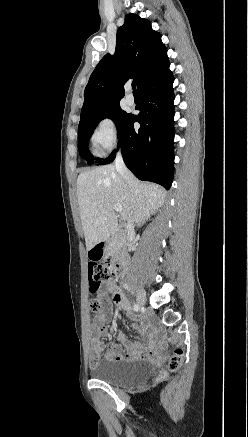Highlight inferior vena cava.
<instances>
[{
	"instance_id": "inferior-vena-cava-1",
	"label": "inferior vena cava",
	"mask_w": 248,
	"mask_h": 437,
	"mask_svg": "<svg viewBox=\"0 0 248 437\" xmlns=\"http://www.w3.org/2000/svg\"><path fill=\"white\" fill-rule=\"evenodd\" d=\"M115 168H116V171L118 172L119 176L121 177V179L128 186H130L131 173L129 172L126 165L124 164L121 152H118L116 155ZM131 214H132V217L127 221V224L130 227L133 226V212H131Z\"/></svg>"
}]
</instances>
